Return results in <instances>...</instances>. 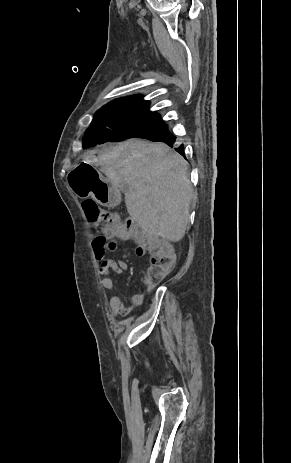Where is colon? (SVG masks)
<instances>
[{
	"instance_id": "colon-1",
	"label": "colon",
	"mask_w": 291,
	"mask_h": 463,
	"mask_svg": "<svg viewBox=\"0 0 291 463\" xmlns=\"http://www.w3.org/2000/svg\"><path fill=\"white\" fill-rule=\"evenodd\" d=\"M84 212L99 237L117 236L130 239L144 253L150 254L149 282L163 278L175 266L176 255L173 248L150 235L132 219H121L117 214L102 209L93 199L82 203Z\"/></svg>"
}]
</instances>
